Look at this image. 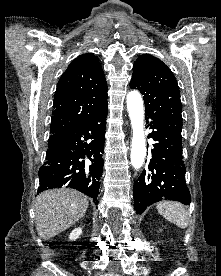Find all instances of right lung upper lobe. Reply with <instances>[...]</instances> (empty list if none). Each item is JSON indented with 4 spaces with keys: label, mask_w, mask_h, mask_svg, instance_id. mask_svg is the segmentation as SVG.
<instances>
[{
    "label": "right lung upper lobe",
    "mask_w": 221,
    "mask_h": 276,
    "mask_svg": "<svg viewBox=\"0 0 221 276\" xmlns=\"http://www.w3.org/2000/svg\"><path fill=\"white\" fill-rule=\"evenodd\" d=\"M107 82L93 53L74 59L60 77L54 96L50 138H61L107 107Z\"/></svg>",
    "instance_id": "right-lung-upper-lobe-1"
}]
</instances>
